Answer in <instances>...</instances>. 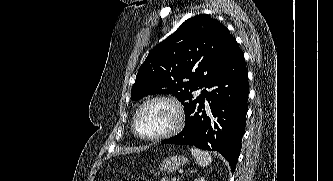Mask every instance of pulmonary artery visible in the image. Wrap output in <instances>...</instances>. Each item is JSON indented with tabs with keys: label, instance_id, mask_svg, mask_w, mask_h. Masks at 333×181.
<instances>
[{
	"label": "pulmonary artery",
	"instance_id": "pulmonary-artery-1",
	"mask_svg": "<svg viewBox=\"0 0 333 181\" xmlns=\"http://www.w3.org/2000/svg\"><path fill=\"white\" fill-rule=\"evenodd\" d=\"M202 92V90H198V94H200Z\"/></svg>",
	"mask_w": 333,
	"mask_h": 181
}]
</instances>
